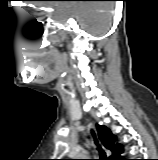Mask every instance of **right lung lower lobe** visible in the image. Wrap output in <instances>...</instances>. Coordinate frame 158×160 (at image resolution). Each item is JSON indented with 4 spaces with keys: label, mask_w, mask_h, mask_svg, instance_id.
I'll use <instances>...</instances> for the list:
<instances>
[{
    "label": "right lung lower lobe",
    "mask_w": 158,
    "mask_h": 160,
    "mask_svg": "<svg viewBox=\"0 0 158 160\" xmlns=\"http://www.w3.org/2000/svg\"><path fill=\"white\" fill-rule=\"evenodd\" d=\"M116 160H129V159H124L123 157H121V156L119 155V157L116 158Z\"/></svg>",
    "instance_id": "1"
}]
</instances>
